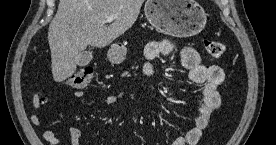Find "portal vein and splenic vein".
<instances>
[{"instance_id": "obj_1", "label": "portal vein and splenic vein", "mask_w": 276, "mask_h": 145, "mask_svg": "<svg viewBox=\"0 0 276 145\" xmlns=\"http://www.w3.org/2000/svg\"><path fill=\"white\" fill-rule=\"evenodd\" d=\"M115 18H116V16L112 15V16H107L105 19H106V22L111 23L115 20Z\"/></svg>"}]
</instances>
